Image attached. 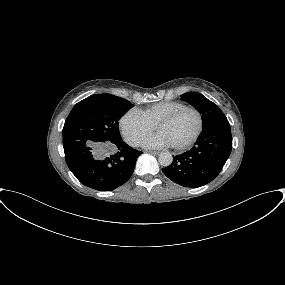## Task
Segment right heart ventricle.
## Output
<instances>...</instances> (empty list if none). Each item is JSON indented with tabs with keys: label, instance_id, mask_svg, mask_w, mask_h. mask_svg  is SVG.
Here are the masks:
<instances>
[{
	"label": "right heart ventricle",
	"instance_id": "1",
	"mask_svg": "<svg viewBox=\"0 0 285 285\" xmlns=\"http://www.w3.org/2000/svg\"><path fill=\"white\" fill-rule=\"evenodd\" d=\"M183 106H185V104L179 101H162L137 111L154 127L163 117Z\"/></svg>",
	"mask_w": 285,
	"mask_h": 285
}]
</instances>
